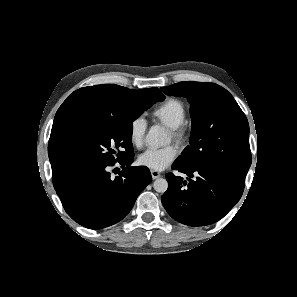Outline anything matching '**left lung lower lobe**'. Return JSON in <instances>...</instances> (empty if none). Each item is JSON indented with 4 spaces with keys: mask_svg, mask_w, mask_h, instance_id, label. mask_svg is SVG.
Instances as JSON below:
<instances>
[{
    "mask_svg": "<svg viewBox=\"0 0 297 297\" xmlns=\"http://www.w3.org/2000/svg\"><path fill=\"white\" fill-rule=\"evenodd\" d=\"M172 169L194 180H183L173 173L166 174L168 189L162 196V204L168 214L178 222L189 226L210 225L223 218L239 201L244 182L228 174L198 168H184L176 163Z\"/></svg>",
    "mask_w": 297,
    "mask_h": 297,
    "instance_id": "1",
    "label": "left lung lower lobe"
}]
</instances>
